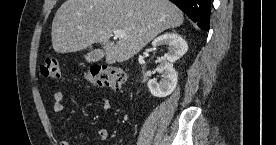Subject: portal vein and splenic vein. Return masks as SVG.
Wrapping results in <instances>:
<instances>
[{"label":"portal vein and splenic vein","instance_id":"obj_1","mask_svg":"<svg viewBox=\"0 0 276 145\" xmlns=\"http://www.w3.org/2000/svg\"><path fill=\"white\" fill-rule=\"evenodd\" d=\"M114 35H115V37H118V38H126L127 37L125 32L121 29H116L114 31Z\"/></svg>","mask_w":276,"mask_h":145}]
</instances>
